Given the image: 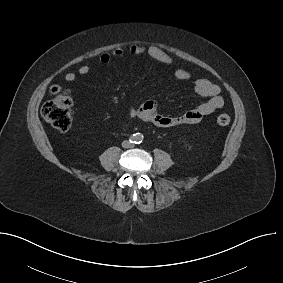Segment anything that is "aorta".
<instances>
[{"label": "aorta", "instance_id": "1", "mask_svg": "<svg viewBox=\"0 0 283 283\" xmlns=\"http://www.w3.org/2000/svg\"><path fill=\"white\" fill-rule=\"evenodd\" d=\"M134 140H135V141L141 140V135H140V134H136V135L134 136Z\"/></svg>", "mask_w": 283, "mask_h": 283}]
</instances>
